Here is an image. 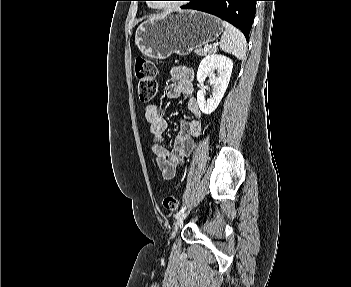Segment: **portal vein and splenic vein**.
Segmentation results:
<instances>
[{"instance_id":"18ae733b","label":"portal vein and splenic vein","mask_w":351,"mask_h":287,"mask_svg":"<svg viewBox=\"0 0 351 287\" xmlns=\"http://www.w3.org/2000/svg\"><path fill=\"white\" fill-rule=\"evenodd\" d=\"M204 50H206V51H207V50H208V46H205V47H204Z\"/></svg>"}]
</instances>
